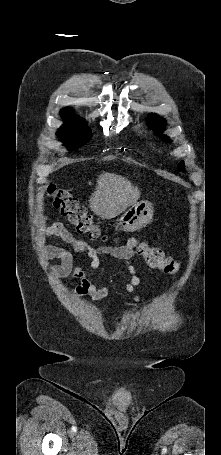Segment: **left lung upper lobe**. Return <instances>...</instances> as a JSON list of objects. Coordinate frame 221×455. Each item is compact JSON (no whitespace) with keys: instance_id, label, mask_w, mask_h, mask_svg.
Wrapping results in <instances>:
<instances>
[{"instance_id":"obj_1","label":"left lung upper lobe","mask_w":221,"mask_h":455,"mask_svg":"<svg viewBox=\"0 0 221 455\" xmlns=\"http://www.w3.org/2000/svg\"><path fill=\"white\" fill-rule=\"evenodd\" d=\"M148 125L157 133V135L166 141H170L169 138L162 134L164 127L166 125V121L162 118H158L156 114H151L148 120ZM179 169H183V164L180 163L178 165Z\"/></svg>"}]
</instances>
